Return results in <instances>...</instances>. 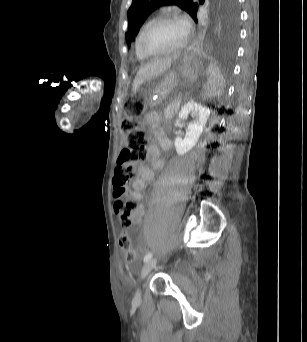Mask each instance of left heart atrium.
<instances>
[{"instance_id": "left-heart-atrium-1", "label": "left heart atrium", "mask_w": 307, "mask_h": 342, "mask_svg": "<svg viewBox=\"0 0 307 342\" xmlns=\"http://www.w3.org/2000/svg\"><path fill=\"white\" fill-rule=\"evenodd\" d=\"M185 28H186V30H188V25L187 24L185 25Z\"/></svg>"}]
</instances>
